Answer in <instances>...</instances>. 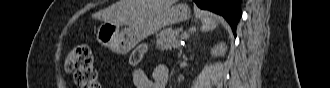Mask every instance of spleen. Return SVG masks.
<instances>
[{"mask_svg":"<svg viewBox=\"0 0 330 88\" xmlns=\"http://www.w3.org/2000/svg\"><path fill=\"white\" fill-rule=\"evenodd\" d=\"M201 19L203 21L202 31H210L216 28L217 22L221 20V18L210 12H202Z\"/></svg>","mask_w":330,"mask_h":88,"instance_id":"1","label":"spleen"}]
</instances>
